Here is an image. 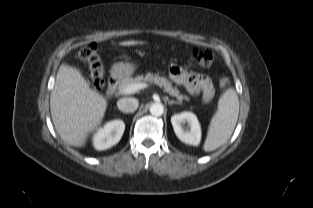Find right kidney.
Returning a JSON list of instances; mask_svg holds the SVG:
<instances>
[{"instance_id": "obj_1", "label": "right kidney", "mask_w": 313, "mask_h": 208, "mask_svg": "<svg viewBox=\"0 0 313 208\" xmlns=\"http://www.w3.org/2000/svg\"><path fill=\"white\" fill-rule=\"evenodd\" d=\"M125 130V124L122 120H113L100 128L93 137V144L97 150H106L116 145Z\"/></svg>"}]
</instances>
